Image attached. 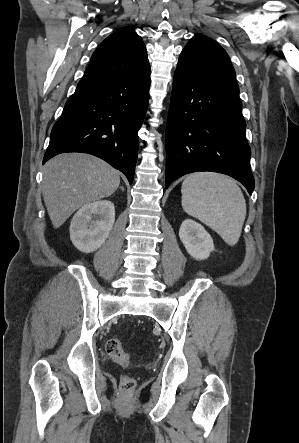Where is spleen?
I'll return each instance as SVG.
<instances>
[{
    "label": "spleen",
    "instance_id": "obj_1",
    "mask_svg": "<svg viewBox=\"0 0 299 443\" xmlns=\"http://www.w3.org/2000/svg\"><path fill=\"white\" fill-rule=\"evenodd\" d=\"M182 207L198 218L229 245H235L246 217V202L241 189L229 177L197 173L182 183Z\"/></svg>",
    "mask_w": 299,
    "mask_h": 443
}]
</instances>
